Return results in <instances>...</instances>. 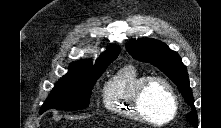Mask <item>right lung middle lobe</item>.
Here are the masks:
<instances>
[{"instance_id":"1","label":"right lung middle lobe","mask_w":221,"mask_h":128,"mask_svg":"<svg viewBox=\"0 0 221 128\" xmlns=\"http://www.w3.org/2000/svg\"><path fill=\"white\" fill-rule=\"evenodd\" d=\"M117 56L114 55L100 64L88 65L75 72L67 73L52 89L40 109V114L52 108L68 111L87 108L96 80Z\"/></svg>"}]
</instances>
